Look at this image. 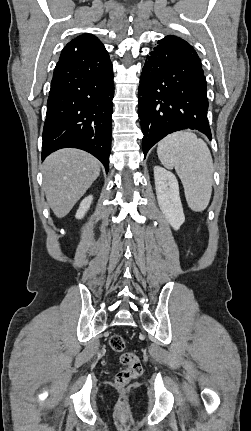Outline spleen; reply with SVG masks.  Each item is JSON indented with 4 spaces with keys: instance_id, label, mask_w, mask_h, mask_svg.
<instances>
[{
    "instance_id": "1",
    "label": "spleen",
    "mask_w": 251,
    "mask_h": 431,
    "mask_svg": "<svg viewBox=\"0 0 251 431\" xmlns=\"http://www.w3.org/2000/svg\"><path fill=\"white\" fill-rule=\"evenodd\" d=\"M157 154L167 169L175 168L188 206L196 212L205 210L213 184V160L207 144L192 132L179 131L158 143Z\"/></svg>"
}]
</instances>
